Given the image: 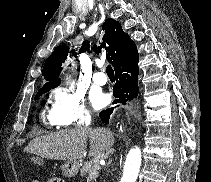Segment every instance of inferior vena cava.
Returning a JSON list of instances; mask_svg holds the SVG:
<instances>
[{
	"label": "inferior vena cava",
	"mask_w": 211,
	"mask_h": 182,
	"mask_svg": "<svg viewBox=\"0 0 211 182\" xmlns=\"http://www.w3.org/2000/svg\"><path fill=\"white\" fill-rule=\"evenodd\" d=\"M90 120V115L86 114L83 118V123L80 125V128H82L83 131H92V133H95V127L88 126L87 122Z\"/></svg>",
	"instance_id": "1"
}]
</instances>
